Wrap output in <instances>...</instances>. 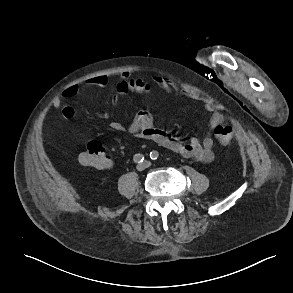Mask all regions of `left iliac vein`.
<instances>
[{
  "mask_svg": "<svg viewBox=\"0 0 293 293\" xmlns=\"http://www.w3.org/2000/svg\"><path fill=\"white\" fill-rule=\"evenodd\" d=\"M144 165H145L146 167H150L151 163H150L149 161H145V162H144Z\"/></svg>",
  "mask_w": 293,
  "mask_h": 293,
  "instance_id": "1",
  "label": "left iliac vein"
}]
</instances>
